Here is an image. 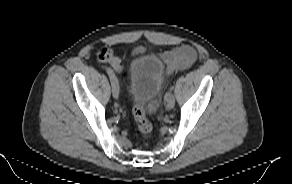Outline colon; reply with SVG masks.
Instances as JSON below:
<instances>
[{"label":"colon","mask_w":292,"mask_h":184,"mask_svg":"<svg viewBox=\"0 0 292 184\" xmlns=\"http://www.w3.org/2000/svg\"><path fill=\"white\" fill-rule=\"evenodd\" d=\"M114 53L110 48L104 47L97 52V59L100 62L110 63L114 58ZM133 115L137 128L143 137H147L152 132L153 126L145 114V110L139 103L133 105Z\"/></svg>","instance_id":"colon-1"}]
</instances>
